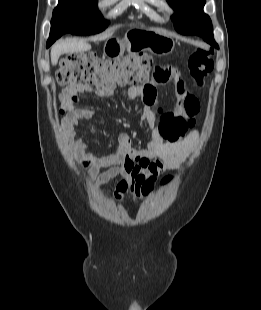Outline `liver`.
Returning <instances> with one entry per match:
<instances>
[{"label":"liver","mask_w":261,"mask_h":310,"mask_svg":"<svg viewBox=\"0 0 261 310\" xmlns=\"http://www.w3.org/2000/svg\"><path fill=\"white\" fill-rule=\"evenodd\" d=\"M111 34L98 37L95 40H103L110 37ZM91 49V45L84 40L80 39H66L56 43L51 49V63L55 66L58 62L59 57L62 54L66 53H77V52H85Z\"/></svg>","instance_id":"6515ba94"}]
</instances>
